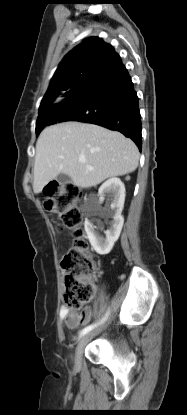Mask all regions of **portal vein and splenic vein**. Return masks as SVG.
Returning a JSON list of instances; mask_svg holds the SVG:
<instances>
[{
	"mask_svg": "<svg viewBox=\"0 0 187 415\" xmlns=\"http://www.w3.org/2000/svg\"><path fill=\"white\" fill-rule=\"evenodd\" d=\"M79 161H80L81 163H84V162H85V159H84V158H80V159H79ZM88 169L93 170V168H92V167H88Z\"/></svg>",
	"mask_w": 187,
	"mask_h": 415,
	"instance_id": "portal-vein-and-splenic-vein-1",
	"label": "portal vein and splenic vein"
}]
</instances>
